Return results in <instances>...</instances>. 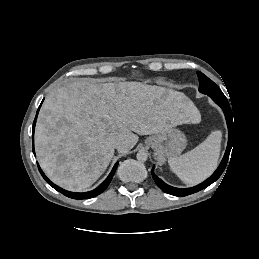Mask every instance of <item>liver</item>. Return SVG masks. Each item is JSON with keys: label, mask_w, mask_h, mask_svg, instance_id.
<instances>
[{"label": "liver", "mask_w": 259, "mask_h": 259, "mask_svg": "<svg viewBox=\"0 0 259 259\" xmlns=\"http://www.w3.org/2000/svg\"><path fill=\"white\" fill-rule=\"evenodd\" d=\"M200 120L198 109L180 92L141 82L73 78L44 101L35 150L55 184L81 192L108 167L115 139L123 141L118 152L126 153L138 142L136 134H157Z\"/></svg>", "instance_id": "obj_1"}]
</instances>
